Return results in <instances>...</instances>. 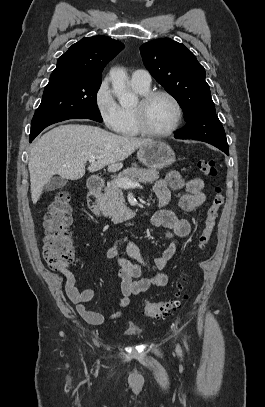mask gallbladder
Masks as SVG:
<instances>
[{
  "label": "gallbladder",
  "mask_w": 265,
  "mask_h": 407,
  "mask_svg": "<svg viewBox=\"0 0 265 407\" xmlns=\"http://www.w3.org/2000/svg\"><path fill=\"white\" fill-rule=\"evenodd\" d=\"M67 184V180L62 177H52L51 180L44 186L45 191H54L63 188Z\"/></svg>",
  "instance_id": "bac80fb5"
}]
</instances>
